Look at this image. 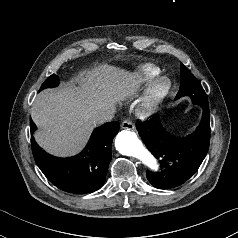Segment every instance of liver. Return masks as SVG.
<instances>
[{"mask_svg":"<svg viewBox=\"0 0 238 238\" xmlns=\"http://www.w3.org/2000/svg\"><path fill=\"white\" fill-rule=\"evenodd\" d=\"M135 73L108 64L87 71L78 86L40 92L31 108L37 143L52 155L66 157L86 145L101 112L133 93Z\"/></svg>","mask_w":238,"mask_h":238,"instance_id":"6515ba94","label":"liver"}]
</instances>
